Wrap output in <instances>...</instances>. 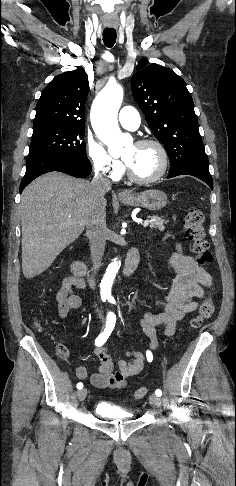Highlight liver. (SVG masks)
Listing matches in <instances>:
<instances>
[{
	"mask_svg": "<svg viewBox=\"0 0 236 486\" xmlns=\"http://www.w3.org/2000/svg\"><path fill=\"white\" fill-rule=\"evenodd\" d=\"M89 185L85 180L50 172L24 189L20 217L26 279L47 270L82 234L92 205Z\"/></svg>",
	"mask_w": 236,
	"mask_h": 486,
	"instance_id": "6515ba94",
	"label": "liver"
}]
</instances>
